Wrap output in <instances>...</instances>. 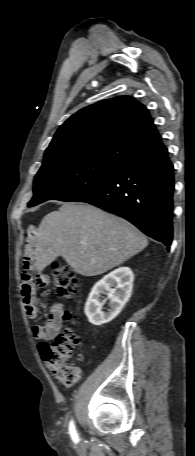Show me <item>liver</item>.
<instances>
[{"instance_id":"6515ba94","label":"liver","mask_w":195,"mask_h":456,"mask_svg":"<svg viewBox=\"0 0 195 456\" xmlns=\"http://www.w3.org/2000/svg\"><path fill=\"white\" fill-rule=\"evenodd\" d=\"M145 235L123 218L89 204H63L41 221L35 266L43 271L58 256L83 276L111 270L142 251Z\"/></svg>"}]
</instances>
